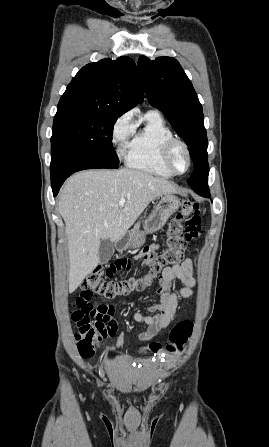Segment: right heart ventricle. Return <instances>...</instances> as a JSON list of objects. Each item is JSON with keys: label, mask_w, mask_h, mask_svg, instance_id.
<instances>
[{"label": "right heart ventricle", "mask_w": 269, "mask_h": 447, "mask_svg": "<svg viewBox=\"0 0 269 447\" xmlns=\"http://www.w3.org/2000/svg\"><path fill=\"white\" fill-rule=\"evenodd\" d=\"M126 156L129 167L164 178L174 174L163 162L164 145L175 138L171 128L157 111H147L137 124Z\"/></svg>", "instance_id": "1"}]
</instances>
